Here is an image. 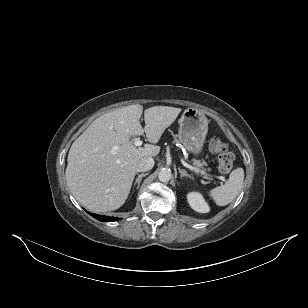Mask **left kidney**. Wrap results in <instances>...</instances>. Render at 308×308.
<instances>
[{"mask_svg": "<svg viewBox=\"0 0 308 308\" xmlns=\"http://www.w3.org/2000/svg\"><path fill=\"white\" fill-rule=\"evenodd\" d=\"M189 205L193 210L199 213L209 212V206L202 195L198 192H191L187 195Z\"/></svg>", "mask_w": 308, "mask_h": 308, "instance_id": "left-kidney-1", "label": "left kidney"}]
</instances>
